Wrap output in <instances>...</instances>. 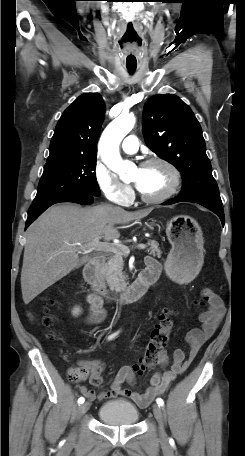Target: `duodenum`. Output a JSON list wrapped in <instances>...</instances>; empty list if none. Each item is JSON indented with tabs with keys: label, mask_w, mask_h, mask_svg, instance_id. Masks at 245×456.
<instances>
[{
	"label": "duodenum",
	"mask_w": 245,
	"mask_h": 456,
	"mask_svg": "<svg viewBox=\"0 0 245 456\" xmlns=\"http://www.w3.org/2000/svg\"><path fill=\"white\" fill-rule=\"evenodd\" d=\"M105 262L104 255L93 257L84 267V279L89 284L92 294L98 300L133 302L140 299L157 280L160 267L156 263L147 264L137 279L127 288L112 292L107 289L101 276V268Z\"/></svg>",
	"instance_id": "1"
}]
</instances>
